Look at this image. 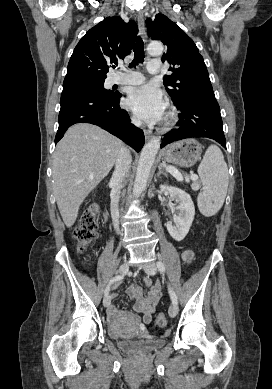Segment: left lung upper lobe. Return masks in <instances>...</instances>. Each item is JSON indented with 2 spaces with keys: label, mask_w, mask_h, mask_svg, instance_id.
Segmentation results:
<instances>
[{
  "label": "left lung upper lobe",
  "mask_w": 272,
  "mask_h": 389,
  "mask_svg": "<svg viewBox=\"0 0 272 389\" xmlns=\"http://www.w3.org/2000/svg\"><path fill=\"white\" fill-rule=\"evenodd\" d=\"M146 22L149 36L167 46L162 60L172 65L169 68L172 74L166 75L163 82L174 105L178 107L194 94L213 90L203 57L193 40L163 14Z\"/></svg>",
  "instance_id": "1"
}]
</instances>
